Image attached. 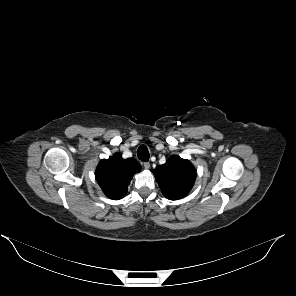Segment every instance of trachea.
<instances>
[{"mask_svg":"<svg viewBox=\"0 0 296 296\" xmlns=\"http://www.w3.org/2000/svg\"><path fill=\"white\" fill-rule=\"evenodd\" d=\"M137 156L141 161L147 162L149 160V151L145 145L138 148Z\"/></svg>","mask_w":296,"mask_h":296,"instance_id":"obj_1","label":"trachea"}]
</instances>
